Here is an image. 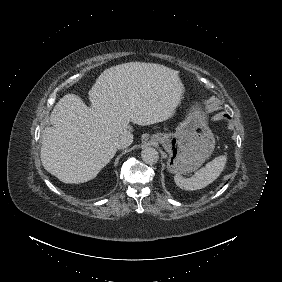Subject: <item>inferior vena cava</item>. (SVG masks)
<instances>
[{
	"instance_id": "inferior-vena-cava-1",
	"label": "inferior vena cava",
	"mask_w": 282,
	"mask_h": 282,
	"mask_svg": "<svg viewBox=\"0 0 282 282\" xmlns=\"http://www.w3.org/2000/svg\"><path fill=\"white\" fill-rule=\"evenodd\" d=\"M132 140H133L132 134L126 131L125 133L116 135L112 139V143L117 149H124L127 148L132 143Z\"/></svg>"
}]
</instances>
